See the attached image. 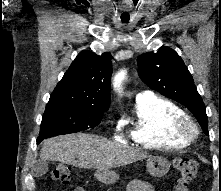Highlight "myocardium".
<instances>
[{
	"label": "myocardium",
	"instance_id": "myocardium-1",
	"mask_svg": "<svg viewBox=\"0 0 221 191\" xmlns=\"http://www.w3.org/2000/svg\"><path fill=\"white\" fill-rule=\"evenodd\" d=\"M175 133L191 142L199 136L200 129L198 124L191 117L185 115L176 122Z\"/></svg>",
	"mask_w": 221,
	"mask_h": 191
}]
</instances>
